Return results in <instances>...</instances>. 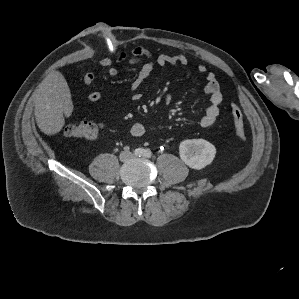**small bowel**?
Returning a JSON list of instances; mask_svg holds the SVG:
<instances>
[{
    "label": "small bowel",
    "mask_w": 299,
    "mask_h": 299,
    "mask_svg": "<svg viewBox=\"0 0 299 299\" xmlns=\"http://www.w3.org/2000/svg\"><path fill=\"white\" fill-rule=\"evenodd\" d=\"M124 62L141 64V68L130 85L132 99L140 100L142 98V94L139 90L156 66H185L188 64V58L185 55L160 54L155 56L143 47H136L130 54L122 52L114 59L109 57L101 59L100 66L106 69L110 76L114 77L118 74V67ZM197 70L199 73L205 75L206 83L204 86V92L208 95L210 101L209 107L205 110L200 120V125L203 128H209L214 125L220 115V105L223 101V95L215 74L208 72L204 65H199ZM83 81L85 85L89 87L94 86L95 74L93 72H87L83 77ZM100 98L101 93L99 90H92L88 94V100L90 102H97ZM145 131L146 128L142 123H135L130 129V133L134 137L143 136Z\"/></svg>",
    "instance_id": "c3829d8e"
}]
</instances>
